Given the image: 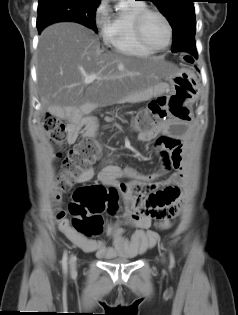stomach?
<instances>
[{
    "label": "stomach",
    "instance_id": "0dacf381",
    "mask_svg": "<svg viewBox=\"0 0 238 315\" xmlns=\"http://www.w3.org/2000/svg\"><path fill=\"white\" fill-rule=\"evenodd\" d=\"M172 87L167 102L168 116L174 122H193L195 110L192 105L200 97V84H196L195 72L168 73L164 77Z\"/></svg>",
    "mask_w": 238,
    "mask_h": 315
}]
</instances>
